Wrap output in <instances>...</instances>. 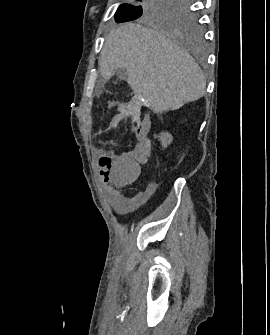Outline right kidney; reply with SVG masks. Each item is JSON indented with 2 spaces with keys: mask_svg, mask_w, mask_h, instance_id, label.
<instances>
[{
  "mask_svg": "<svg viewBox=\"0 0 270 335\" xmlns=\"http://www.w3.org/2000/svg\"><path fill=\"white\" fill-rule=\"evenodd\" d=\"M154 138H159V142H161L163 148H167V146H169L173 140L171 134H168V132H161L159 136H156L155 134Z\"/></svg>",
  "mask_w": 270,
  "mask_h": 335,
  "instance_id": "right-kidney-1",
  "label": "right kidney"
}]
</instances>
